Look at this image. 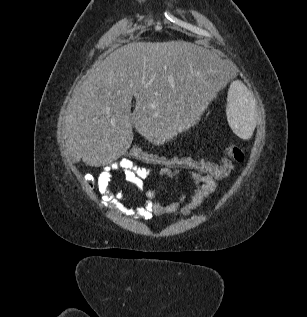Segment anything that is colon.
Instances as JSON below:
<instances>
[{
    "mask_svg": "<svg viewBox=\"0 0 307 317\" xmlns=\"http://www.w3.org/2000/svg\"><path fill=\"white\" fill-rule=\"evenodd\" d=\"M121 159L133 163L139 162L150 167L172 170L186 169L213 178H223L231 173L234 162H243L245 160V153L237 146H230L226 149L224 157L219 162H213L190 156L165 155L132 145L126 148ZM85 179L90 187L94 186L95 179L92 175H86Z\"/></svg>",
    "mask_w": 307,
    "mask_h": 317,
    "instance_id": "5ec220e1",
    "label": "colon"
}]
</instances>
